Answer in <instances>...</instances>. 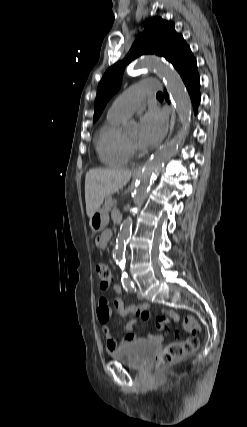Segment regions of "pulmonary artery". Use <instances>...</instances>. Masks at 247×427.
Instances as JSON below:
<instances>
[{"label":"pulmonary artery","instance_id":"1","mask_svg":"<svg viewBox=\"0 0 247 427\" xmlns=\"http://www.w3.org/2000/svg\"><path fill=\"white\" fill-rule=\"evenodd\" d=\"M157 90L158 84L151 80L130 86L114 100L108 110V116L121 119L127 118L137 109L147 95Z\"/></svg>","mask_w":247,"mask_h":427}]
</instances>
